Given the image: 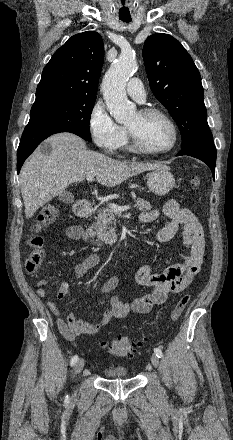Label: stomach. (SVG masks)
I'll return each instance as SVG.
<instances>
[{
	"mask_svg": "<svg viewBox=\"0 0 233 440\" xmlns=\"http://www.w3.org/2000/svg\"><path fill=\"white\" fill-rule=\"evenodd\" d=\"M174 186L175 178L168 169H155L147 175V187L155 195H166Z\"/></svg>",
	"mask_w": 233,
	"mask_h": 440,
	"instance_id": "0dacf381",
	"label": "stomach"
}]
</instances>
